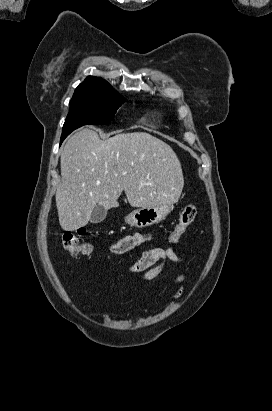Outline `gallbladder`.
I'll return each mask as SVG.
<instances>
[{
	"mask_svg": "<svg viewBox=\"0 0 272 411\" xmlns=\"http://www.w3.org/2000/svg\"><path fill=\"white\" fill-rule=\"evenodd\" d=\"M107 215V209L101 205H96L91 213L90 222L97 224L102 222Z\"/></svg>",
	"mask_w": 272,
	"mask_h": 411,
	"instance_id": "gallbladder-1",
	"label": "gallbladder"
}]
</instances>
